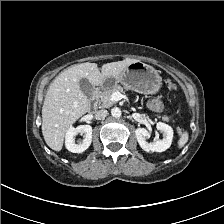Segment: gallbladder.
I'll use <instances>...</instances> for the list:
<instances>
[{"mask_svg": "<svg viewBox=\"0 0 224 224\" xmlns=\"http://www.w3.org/2000/svg\"><path fill=\"white\" fill-rule=\"evenodd\" d=\"M79 86H80L81 91L86 95V97L90 98L92 96L93 86L89 82L88 79H86V78L80 79Z\"/></svg>", "mask_w": 224, "mask_h": 224, "instance_id": "1", "label": "gallbladder"}]
</instances>
